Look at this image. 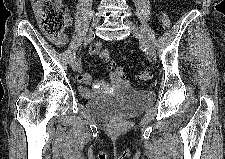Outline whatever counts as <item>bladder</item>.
I'll use <instances>...</instances> for the list:
<instances>
[{
    "mask_svg": "<svg viewBox=\"0 0 225 159\" xmlns=\"http://www.w3.org/2000/svg\"><path fill=\"white\" fill-rule=\"evenodd\" d=\"M154 102L150 92L124 88L113 94L95 96L87 100L89 112L103 119L129 118L145 110Z\"/></svg>",
    "mask_w": 225,
    "mask_h": 159,
    "instance_id": "31cf9c89",
    "label": "bladder"
}]
</instances>
